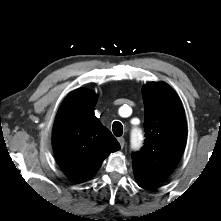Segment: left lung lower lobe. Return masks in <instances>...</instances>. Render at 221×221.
<instances>
[{"instance_id":"0a47b994","label":"left lung lower lobe","mask_w":221,"mask_h":221,"mask_svg":"<svg viewBox=\"0 0 221 221\" xmlns=\"http://www.w3.org/2000/svg\"><path fill=\"white\" fill-rule=\"evenodd\" d=\"M138 185L145 189H150L158 185V182L146 177L141 171L133 168Z\"/></svg>"}]
</instances>
